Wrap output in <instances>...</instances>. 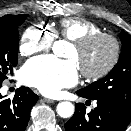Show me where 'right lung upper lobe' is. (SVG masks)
I'll return each instance as SVG.
<instances>
[{
    "label": "right lung upper lobe",
    "mask_w": 131,
    "mask_h": 131,
    "mask_svg": "<svg viewBox=\"0 0 131 131\" xmlns=\"http://www.w3.org/2000/svg\"><path fill=\"white\" fill-rule=\"evenodd\" d=\"M9 15L3 16L2 18H0L1 20H5Z\"/></svg>",
    "instance_id": "obj_1"
}]
</instances>
